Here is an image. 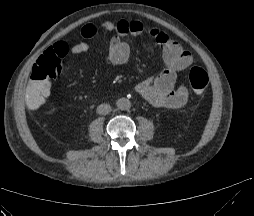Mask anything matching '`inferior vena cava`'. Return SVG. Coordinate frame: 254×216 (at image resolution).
I'll return each instance as SVG.
<instances>
[{"instance_id":"obj_1","label":"inferior vena cava","mask_w":254,"mask_h":216,"mask_svg":"<svg viewBox=\"0 0 254 216\" xmlns=\"http://www.w3.org/2000/svg\"><path fill=\"white\" fill-rule=\"evenodd\" d=\"M110 111H111V106L107 103L100 104L97 107V113L100 115H107L108 113H110Z\"/></svg>"}]
</instances>
